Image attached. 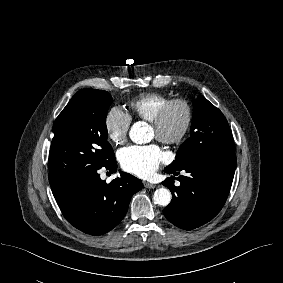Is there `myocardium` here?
<instances>
[{
  "instance_id": "f54148a6",
  "label": "myocardium",
  "mask_w": 283,
  "mask_h": 283,
  "mask_svg": "<svg viewBox=\"0 0 283 283\" xmlns=\"http://www.w3.org/2000/svg\"><path fill=\"white\" fill-rule=\"evenodd\" d=\"M175 107L182 109L184 120L181 128L174 134H169L166 130V124L170 112ZM194 120V111L191 103L184 98H171L165 102L155 118L151 121V125L156 132V138L166 144H178L182 142L188 135Z\"/></svg>"
}]
</instances>
